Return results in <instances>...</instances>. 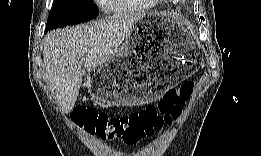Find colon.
Wrapping results in <instances>:
<instances>
[{
    "label": "colon",
    "instance_id": "1",
    "mask_svg": "<svg viewBox=\"0 0 261 156\" xmlns=\"http://www.w3.org/2000/svg\"><path fill=\"white\" fill-rule=\"evenodd\" d=\"M193 88V82H185L180 88L167 92L157 104L127 115L109 117L92 107H82L73 112L72 118L103 141L117 140L134 145L178 118Z\"/></svg>",
    "mask_w": 261,
    "mask_h": 156
}]
</instances>
